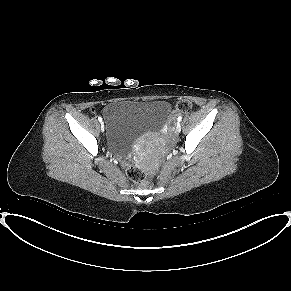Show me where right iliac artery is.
Instances as JSON below:
<instances>
[{
	"label": "right iliac artery",
	"instance_id": "right-iliac-artery-1",
	"mask_svg": "<svg viewBox=\"0 0 291 291\" xmlns=\"http://www.w3.org/2000/svg\"><path fill=\"white\" fill-rule=\"evenodd\" d=\"M98 120L101 122L102 121V118L101 117H98Z\"/></svg>",
	"mask_w": 291,
	"mask_h": 291
}]
</instances>
